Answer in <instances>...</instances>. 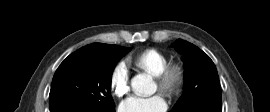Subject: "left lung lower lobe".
Segmentation results:
<instances>
[{"mask_svg":"<svg viewBox=\"0 0 270 112\" xmlns=\"http://www.w3.org/2000/svg\"><path fill=\"white\" fill-rule=\"evenodd\" d=\"M187 112H222V110H216L211 108H203V107H193Z\"/></svg>","mask_w":270,"mask_h":112,"instance_id":"obj_1","label":"left lung lower lobe"}]
</instances>
